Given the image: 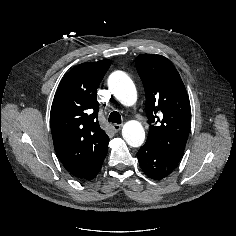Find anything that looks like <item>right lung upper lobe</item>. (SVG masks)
Returning a JSON list of instances; mask_svg holds the SVG:
<instances>
[{"mask_svg": "<svg viewBox=\"0 0 236 236\" xmlns=\"http://www.w3.org/2000/svg\"><path fill=\"white\" fill-rule=\"evenodd\" d=\"M110 67V60L86 62L62 79L50 113L54 148L64 167L85 178L104 160L109 137L97 116V87Z\"/></svg>", "mask_w": 236, "mask_h": 236, "instance_id": "cb5924a9", "label": "right lung upper lobe"}]
</instances>
